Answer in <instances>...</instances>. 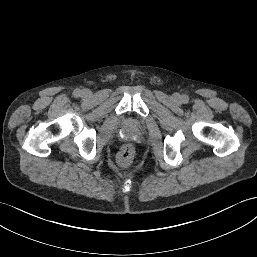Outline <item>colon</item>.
Returning a JSON list of instances; mask_svg holds the SVG:
<instances>
[{"label": "colon", "instance_id": "colon-1", "mask_svg": "<svg viewBox=\"0 0 257 257\" xmlns=\"http://www.w3.org/2000/svg\"><path fill=\"white\" fill-rule=\"evenodd\" d=\"M133 156H134V150L132 146L126 145L119 153L118 162L121 166H127L131 163Z\"/></svg>", "mask_w": 257, "mask_h": 257}]
</instances>
